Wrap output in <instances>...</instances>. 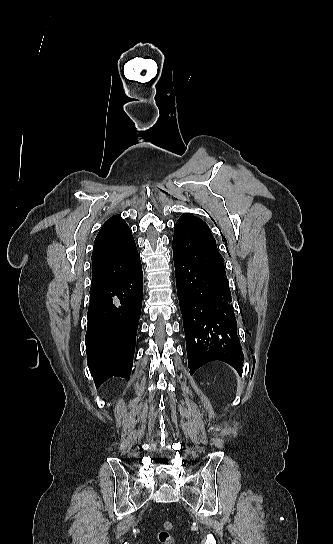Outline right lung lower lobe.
<instances>
[{"instance_id":"98d812e1","label":"right lung lower lobe","mask_w":333,"mask_h":544,"mask_svg":"<svg viewBox=\"0 0 333 544\" xmlns=\"http://www.w3.org/2000/svg\"><path fill=\"white\" fill-rule=\"evenodd\" d=\"M141 262L114 284L90 294L85 336L96 387L107 378H129L142 306Z\"/></svg>"}]
</instances>
